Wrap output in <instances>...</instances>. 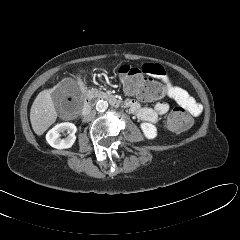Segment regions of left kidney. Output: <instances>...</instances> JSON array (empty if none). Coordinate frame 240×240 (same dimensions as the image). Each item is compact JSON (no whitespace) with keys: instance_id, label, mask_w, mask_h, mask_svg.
Wrapping results in <instances>:
<instances>
[{"instance_id":"5707ae66","label":"left kidney","mask_w":240,"mask_h":240,"mask_svg":"<svg viewBox=\"0 0 240 240\" xmlns=\"http://www.w3.org/2000/svg\"><path fill=\"white\" fill-rule=\"evenodd\" d=\"M141 130L144 133V136L147 139H154L157 136V128L155 125L151 124V123H141L140 125Z\"/></svg>"}]
</instances>
